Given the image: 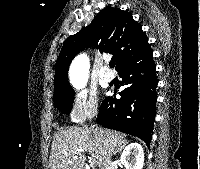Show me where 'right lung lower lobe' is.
<instances>
[{"instance_id":"98d812e1","label":"right lung lower lobe","mask_w":200,"mask_h":169,"mask_svg":"<svg viewBox=\"0 0 200 169\" xmlns=\"http://www.w3.org/2000/svg\"><path fill=\"white\" fill-rule=\"evenodd\" d=\"M118 74L126 88L120 93V99H104L97 122L106 128L137 136L149 146L158 84L153 53L125 65Z\"/></svg>"}]
</instances>
